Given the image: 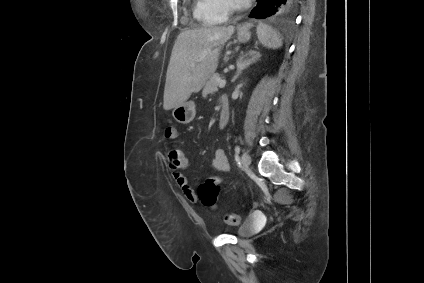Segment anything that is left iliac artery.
I'll use <instances>...</instances> for the list:
<instances>
[{
    "mask_svg": "<svg viewBox=\"0 0 424 283\" xmlns=\"http://www.w3.org/2000/svg\"><path fill=\"white\" fill-rule=\"evenodd\" d=\"M239 153H240V147L239 146H236L235 147V155H236V157L238 156Z\"/></svg>",
    "mask_w": 424,
    "mask_h": 283,
    "instance_id": "44dca946",
    "label": "left iliac artery"
}]
</instances>
